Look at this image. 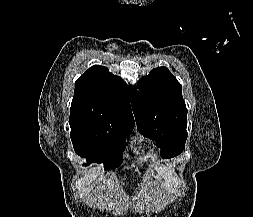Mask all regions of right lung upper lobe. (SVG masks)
<instances>
[{"mask_svg":"<svg viewBox=\"0 0 253 217\" xmlns=\"http://www.w3.org/2000/svg\"><path fill=\"white\" fill-rule=\"evenodd\" d=\"M131 88L107 67L95 65L76 82L71 117H87L134 123Z\"/></svg>","mask_w":253,"mask_h":217,"instance_id":"cb5924a9","label":"right lung upper lobe"}]
</instances>
